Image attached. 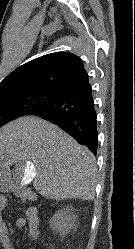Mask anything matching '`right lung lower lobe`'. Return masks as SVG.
Listing matches in <instances>:
<instances>
[{
  "label": "right lung lower lobe",
  "mask_w": 135,
  "mask_h": 249,
  "mask_svg": "<svg viewBox=\"0 0 135 249\" xmlns=\"http://www.w3.org/2000/svg\"><path fill=\"white\" fill-rule=\"evenodd\" d=\"M28 115L39 116L57 124L96 155L97 120L90 84L66 90Z\"/></svg>",
  "instance_id": "98d812e1"
}]
</instances>
